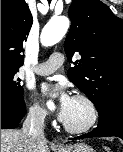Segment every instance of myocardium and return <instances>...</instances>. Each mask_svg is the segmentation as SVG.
<instances>
[{
	"mask_svg": "<svg viewBox=\"0 0 123 152\" xmlns=\"http://www.w3.org/2000/svg\"><path fill=\"white\" fill-rule=\"evenodd\" d=\"M73 98L82 101L88 107L90 113L89 120L87 121L86 124L79 127L71 126L67 124L65 121H62V125L64 129L69 133L78 134V135L85 134L91 131L97 124L99 119V111L97 105L89 96L82 93H77L73 96Z\"/></svg>",
	"mask_w": 123,
	"mask_h": 152,
	"instance_id": "obj_1",
	"label": "myocardium"
}]
</instances>
